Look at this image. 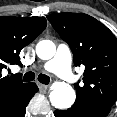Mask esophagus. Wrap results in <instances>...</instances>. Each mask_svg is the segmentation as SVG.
Returning a JSON list of instances; mask_svg holds the SVG:
<instances>
[{"label":"esophagus","instance_id":"34e87169","mask_svg":"<svg viewBox=\"0 0 117 117\" xmlns=\"http://www.w3.org/2000/svg\"><path fill=\"white\" fill-rule=\"evenodd\" d=\"M38 87H39V90L42 91V92L47 91L48 88H49L48 85H44V84H41V83H38Z\"/></svg>","mask_w":117,"mask_h":117}]
</instances>
